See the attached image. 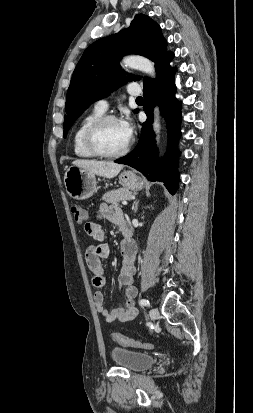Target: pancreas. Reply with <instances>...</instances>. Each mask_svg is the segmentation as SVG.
<instances>
[{"mask_svg": "<svg viewBox=\"0 0 253 413\" xmlns=\"http://www.w3.org/2000/svg\"><path fill=\"white\" fill-rule=\"evenodd\" d=\"M131 196H132L131 192L123 188H120V189H114L109 192H106L103 195L102 200H104L108 204L117 205L122 200L130 199Z\"/></svg>", "mask_w": 253, "mask_h": 413, "instance_id": "cf45deb5", "label": "pancreas"}]
</instances>
